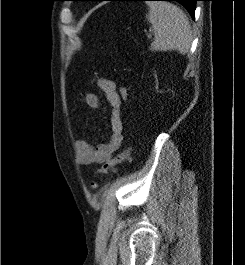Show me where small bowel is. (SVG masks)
<instances>
[{"label":"small bowel","instance_id":"1","mask_svg":"<svg viewBox=\"0 0 245 265\" xmlns=\"http://www.w3.org/2000/svg\"><path fill=\"white\" fill-rule=\"evenodd\" d=\"M97 85L111 106L109 116L111 135L106 143H100L96 146L85 138L77 140L75 149L78 161L82 165L101 164L109 161L123 142L122 98L120 92L117 90L115 82L107 78H99ZM84 101L93 109H98L102 105L100 97L94 93H86Z\"/></svg>","mask_w":245,"mask_h":265}]
</instances>
